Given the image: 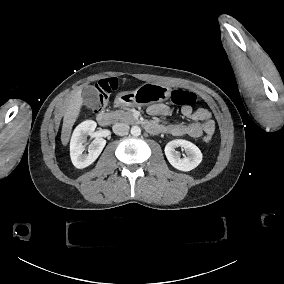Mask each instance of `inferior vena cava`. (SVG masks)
<instances>
[{"mask_svg": "<svg viewBox=\"0 0 284 284\" xmlns=\"http://www.w3.org/2000/svg\"><path fill=\"white\" fill-rule=\"evenodd\" d=\"M112 129L115 134L124 136L129 132V125L127 123L118 122L113 125Z\"/></svg>", "mask_w": 284, "mask_h": 284, "instance_id": "602c4592", "label": "inferior vena cava"}]
</instances>
